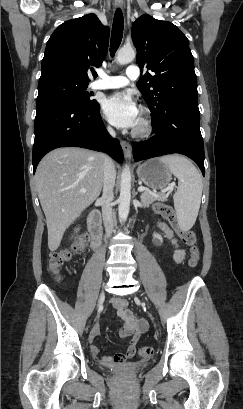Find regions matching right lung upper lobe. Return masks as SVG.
Here are the masks:
<instances>
[{"label": "right lung upper lobe", "mask_w": 243, "mask_h": 409, "mask_svg": "<svg viewBox=\"0 0 243 409\" xmlns=\"http://www.w3.org/2000/svg\"><path fill=\"white\" fill-rule=\"evenodd\" d=\"M109 28L95 14L68 20L49 38L40 79L64 76L88 84L107 55ZM93 72V73H91Z\"/></svg>", "instance_id": "right-lung-upper-lobe-1"}]
</instances>
